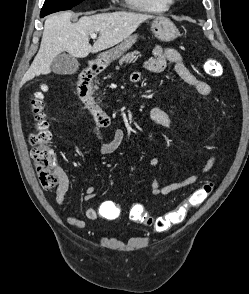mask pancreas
<instances>
[{"instance_id":"pancreas-1","label":"pancreas","mask_w":249,"mask_h":294,"mask_svg":"<svg viewBox=\"0 0 249 294\" xmlns=\"http://www.w3.org/2000/svg\"><path fill=\"white\" fill-rule=\"evenodd\" d=\"M138 57H141V54L139 51H134L127 53L119 60V65L122 66L124 63L131 62L133 60L138 59ZM119 66L116 67V70H119ZM108 78H111V75H108Z\"/></svg>"}]
</instances>
